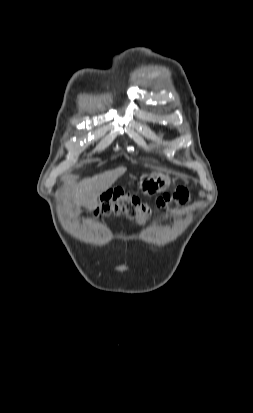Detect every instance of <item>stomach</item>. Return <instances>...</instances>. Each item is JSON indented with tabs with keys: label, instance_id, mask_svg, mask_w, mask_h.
I'll list each match as a JSON object with an SVG mask.
<instances>
[{
	"label": "stomach",
	"instance_id": "stomach-1",
	"mask_svg": "<svg viewBox=\"0 0 253 413\" xmlns=\"http://www.w3.org/2000/svg\"><path fill=\"white\" fill-rule=\"evenodd\" d=\"M169 185L170 180L167 177L156 173H145L139 181L140 191L148 196L163 192Z\"/></svg>",
	"mask_w": 253,
	"mask_h": 413
}]
</instances>
